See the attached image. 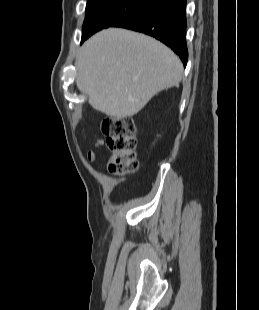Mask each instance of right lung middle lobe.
I'll return each instance as SVG.
<instances>
[{"instance_id": "right-lung-middle-lobe-1", "label": "right lung middle lobe", "mask_w": 259, "mask_h": 310, "mask_svg": "<svg viewBox=\"0 0 259 310\" xmlns=\"http://www.w3.org/2000/svg\"><path fill=\"white\" fill-rule=\"evenodd\" d=\"M158 0H107L100 4L86 7V17L83 24L82 40L108 27H114L119 22L140 12Z\"/></svg>"}]
</instances>
